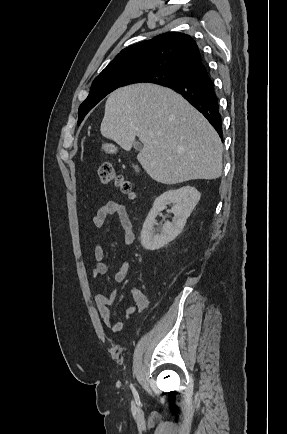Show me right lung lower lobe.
Segmentation results:
<instances>
[{"label":"right lung lower lobe","mask_w":287,"mask_h":434,"mask_svg":"<svg viewBox=\"0 0 287 434\" xmlns=\"http://www.w3.org/2000/svg\"><path fill=\"white\" fill-rule=\"evenodd\" d=\"M166 87L181 94L191 105L200 111L222 139V123L218 98L205 64L202 63L186 71L176 82Z\"/></svg>","instance_id":"obj_1"}]
</instances>
